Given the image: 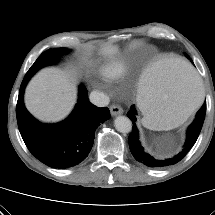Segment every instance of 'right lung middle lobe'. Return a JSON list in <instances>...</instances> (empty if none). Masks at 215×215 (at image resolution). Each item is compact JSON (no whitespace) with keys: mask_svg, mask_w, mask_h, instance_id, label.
Listing matches in <instances>:
<instances>
[{"mask_svg":"<svg viewBox=\"0 0 215 215\" xmlns=\"http://www.w3.org/2000/svg\"><path fill=\"white\" fill-rule=\"evenodd\" d=\"M63 52H67V49L64 48L54 50L49 49L43 52L26 74L33 76L40 68L55 63L58 59V55Z\"/></svg>","mask_w":215,"mask_h":215,"instance_id":"1","label":"right lung middle lobe"}]
</instances>
